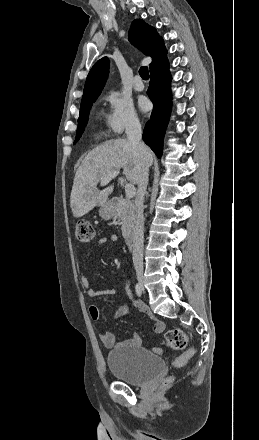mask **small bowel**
I'll return each mask as SVG.
<instances>
[{
	"label": "small bowel",
	"mask_w": 259,
	"mask_h": 440,
	"mask_svg": "<svg viewBox=\"0 0 259 440\" xmlns=\"http://www.w3.org/2000/svg\"><path fill=\"white\" fill-rule=\"evenodd\" d=\"M110 240L113 242H117L118 236L116 234H113L110 236ZM107 241H108L107 238H100L98 240L97 244L103 245ZM80 282H81V285L84 288L85 292L87 293V295L90 298H94V297H98V296H102V295H113L114 294V291L112 289L95 290L94 288L91 287L88 278L84 275L81 276ZM126 291H127L128 296L130 298H133V294H132V290H131L129 282H127V284H126ZM133 304L136 308H138L142 313H144L147 317H149L153 321V326H154L155 332H162L164 330V328H165L164 323L162 321L158 320L151 313V311L148 309V307L146 305H144L140 301H134ZM127 312H128V306L122 305L116 311L115 316H116V318H120V317L125 316L127 314ZM89 315L93 320H97L99 318V309L96 305L92 304L89 306ZM98 337H99L100 342L106 348H112L115 345V337L110 332H105V331L99 332ZM140 344H141V338L138 334H133V336L130 339L121 343V345H128V346H131V345L136 346V345H140ZM153 351L156 353H160L161 349L156 347L153 349Z\"/></svg>",
	"instance_id": "obj_1"
}]
</instances>
